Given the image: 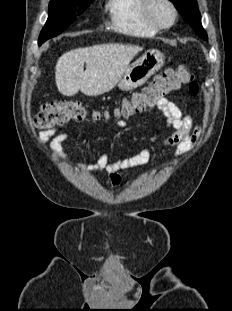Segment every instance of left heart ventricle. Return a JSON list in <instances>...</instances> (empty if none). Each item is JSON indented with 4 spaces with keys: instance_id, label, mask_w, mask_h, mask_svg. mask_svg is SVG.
<instances>
[{
    "instance_id": "left-heart-ventricle-1",
    "label": "left heart ventricle",
    "mask_w": 232,
    "mask_h": 311,
    "mask_svg": "<svg viewBox=\"0 0 232 311\" xmlns=\"http://www.w3.org/2000/svg\"><path fill=\"white\" fill-rule=\"evenodd\" d=\"M150 12L152 18L160 24H168L172 19V12L169 6L161 1L153 3Z\"/></svg>"
}]
</instances>
